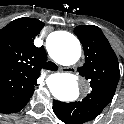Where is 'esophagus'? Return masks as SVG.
Wrapping results in <instances>:
<instances>
[{
  "label": "esophagus",
  "instance_id": "esophagus-1",
  "mask_svg": "<svg viewBox=\"0 0 124 124\" xmlns=\"http://www.w3.org/2000/svg\"><path fill=\"white\" fill-rule=\"evenodd\" d=\"M61 72H68V73H73L76 71L75 67H61L60 68Z\"/></svg>",
  "mask_w": 124,
  "mask_h": 124
}]
</instances>
